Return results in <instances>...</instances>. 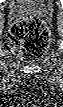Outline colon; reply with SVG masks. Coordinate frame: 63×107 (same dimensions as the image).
I'll return each mask as SVG.
<instances>
[{
	"label": "colon",
	"instance_id": "colon-1",
	"mask_svg": "<svg viewBox=\"0 0 63 107\" xmlns=\"http://www.w3.org/2000/svg\"><path fill=\"white\" fill-rule=\"evenodd\" d=\"M50 40L48 27L42 21L26 17L16 22L9 32L12 50L20 57L36 59L44 55Z\"/></svg>",
	"mask_w": 63,
	"mask_h": 107
}]
</instances>
